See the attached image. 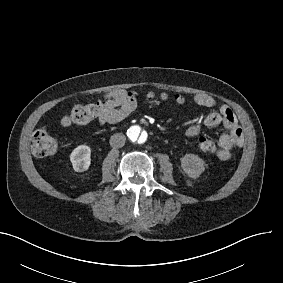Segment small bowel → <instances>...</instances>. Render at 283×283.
Returning a JSON list of instances; mask_svg holds the SVG:
<instances>
[{
  "label": "small bowel",
  "mask_w": 283,
  "mask_h": 283,
  "mask_svg": "<svg viewBox=\"0 0 283 283\" xmlns=\"http://www.w3.org/2000/svg\"><path fill=\"white\" fill-rule=\"evenodd\" d=\"M139 94L123 88H116L105 92L101 96L98 107V121L100 124H116L128 117L137 107ZM194 102L198 106L212 108L216 106V99L208 94H196ZM206 127L222 125L225 132L219 137L222 144L221 152L215 155L221 161L232 158V151L244 144V135L232 109L221 105L217 110L210 112L203 121ZM201 124H192L186 134L191 137L196 130H201Z\"/></svg>",
  "instance_id": "c3829d8e"
}]
</instances>
